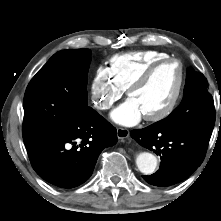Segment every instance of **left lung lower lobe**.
I'll return each instance as SVG.
<instances>
[{
    "label": "left lung lower lobe",
    "instance_id": "obj_1",
    "mask_svg": "<svg viewBox=\"0 0 221 221\" xmlns=\"http://www.w3.org/2000/svg\"><path fill=\"white\" fill-rule=\"evenodd\" d=\"M212 131L198 128L163 130L155 123L131 136L141 145L161 157L160 169L143 176L154 186L167 187L189 177L205 157Z\"/></svg>",
    "mask_w": 221,
    "mask_h": 221
}]
</instances>
